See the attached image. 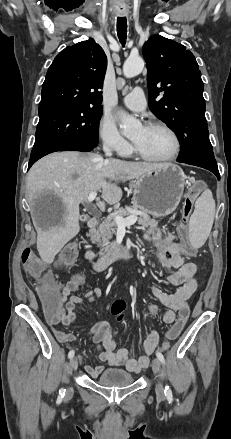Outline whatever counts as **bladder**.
Returning a JSON list of instances; mask_svg holds the SVG:
<instances>
[{"label": "bladder", "mask_w": 231, "mask_h": 439, "mask_svg": "<svg viewBox=\"0 0 231 439\" xmlns=\"http://www.w3.org/2000/svg\"><path fill=\"white\" fill-rule=\"evenodd\" d=\"M134 376L121 369H107L96 379V383L104 387H124L134 382Z\"/></svg>", "instance_id": "bladder-1"}]
</instances>
